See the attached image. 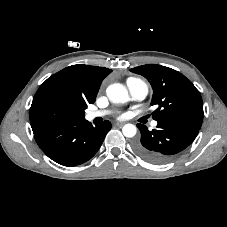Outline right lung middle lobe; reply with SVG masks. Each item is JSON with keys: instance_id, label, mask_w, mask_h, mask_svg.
Instances as JSON below:
<instances>
[{"instance_id": "obj_1", "label": "right lung middle lobe", "mask_w": 227, "mask_h": 227, "mask_svg": "<svg viewBox=\"0 0 227 227\" xmlns=\"http://www.w3.org/2000/svg\"><path fill=\"white\" fill-rule=\"evenodd\" d=\"M86 105L55 87H39L30 108L33 130L47 129L84 119Z\"/></svg>"}]
</instances>
